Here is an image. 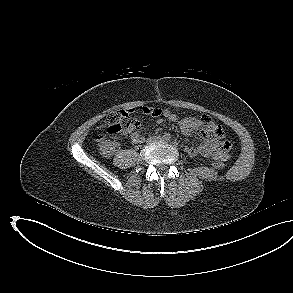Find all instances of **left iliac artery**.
I'll use <instances>...</instances> for the list:
<instances>
[{
	"instance_id": "44dca946",
	"label": "left iliac artery",
	"mask_w": 293,
	"mask_h": 293,
	"mask_svg": "<svg viewBox=\"0 0 293 293\" xmlns=\"http://www.w3.org/2000/svg\"><path fill=\"white\" fill-rule=\"evenodd\" d=\"M173 144H174V145H178V143H177L176 141H175V142H173Z\"/></svg>"
}]
</instances>
